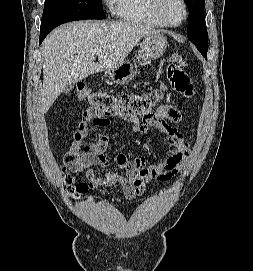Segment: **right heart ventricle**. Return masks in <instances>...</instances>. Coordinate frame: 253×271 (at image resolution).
Wrapping results in <instances>:
<instances>
[{"label":"right heart ventricle","mask_w":253,"mask_h":271,"mask_svg":"<svg viewBox=\"0 0 253 271\" xmlns=\"http://www.w3.org/2000/svg\"><path fill=\"white\" fill-rule=\"evenodd\" d=\"M116 15L131 23L143 24L154 28L165 25L153 10V0H113Z\"/></svg>","instance_id":"e07e8e85"}]
</instances>
